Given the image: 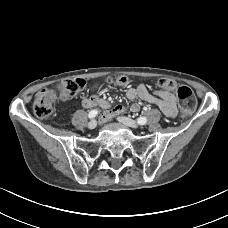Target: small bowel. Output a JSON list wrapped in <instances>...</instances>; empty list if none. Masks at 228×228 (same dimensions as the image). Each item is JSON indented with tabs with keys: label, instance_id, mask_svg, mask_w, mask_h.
Masks as SVG:
<instances>
[{
	"label": "small bowel",
	"instance_id": "obj_1",
	"mask_svg": "<svg viewBox=\"0 0 228 228\" xmlns=\"http://www.w3.org/2000/svg\"><path fill=\"white\" fill-rule=\"evenodd\" d=\"M127 99L135 100L137 98L157 106L167 118H174L177 115L176 98L173 93L167 90H150L147 85L140 84L135 88H128L125 93ZM82 104L86 108L101 106L107 108L102 115V120L106 121L124 111L137 112L140 109L139 104L133 103L129 107L117 105L108 108L105 101L100 99L96 93L83 99Z\"/></svg>",
	"mask_w": 228,
	"mask_h": 228
}]
</instances>
